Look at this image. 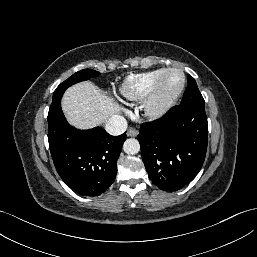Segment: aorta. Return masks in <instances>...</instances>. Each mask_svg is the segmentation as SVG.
I'll use <instances>...</instances> for the list:
<instances>
[{"instance_id":"1","label":"aorta","mask_w":257,"mask_h":257,"mask_svg":"<svg viewBox=\"0 0 257 257\" xmlns=\"http://www.w3.org/2000/svg\"><path fill=\"white\" fill-rule=\"evenodd\" d=\"M123 150L127 154H137L140 151L139 141L135 138L127 139L123 144Z\"/></svg>"}]
</instances>
